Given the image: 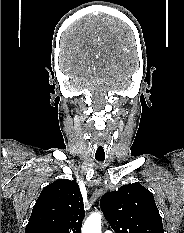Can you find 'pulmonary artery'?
Listing matches in <instances>:
<instances>
[{
	"instance_id": "e3ab8cb5",
	"label": "pulmonary artery",
	"mask_w": 184,
	"mask_h": 233,
	"mask_svg": "<svg viewBox=\"0 0 184 233\" xmlns=\"http://www.w3.org/2000/svg\"><path fill=\"white\" fill-rule=\"evenodd\" d=\"M104 233H113V232L110 230H106Z\"/></svg>"
}]
</instances>
